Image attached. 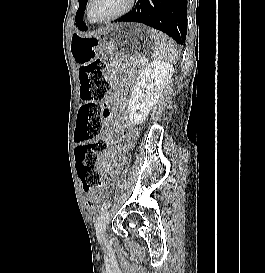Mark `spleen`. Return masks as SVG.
I'll return each mask as SVG.
<instances>
[{"label": "spleen", "instance_id": "spleen-1", "mask_svg": "<svg viewBox=\"0 0 265 273\" xmlns=\"http://www.w3.org/2000/svg\"><path fill=\"white\" fill-rule=\"evenodd\" d=\"M154 40V57L163 61L175 62L178 59V53L175 44L165 34L155 29H149Z\"/></svg>", "mask_w": 265, "mask_h": 273}]
</instances>
